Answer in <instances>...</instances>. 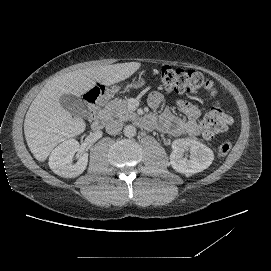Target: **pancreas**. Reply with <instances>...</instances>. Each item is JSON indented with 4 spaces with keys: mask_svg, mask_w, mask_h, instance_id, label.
<instances>
[{
    "mask_svg": "<svg viewBox=\"0 0 271 271\" xmlns=\"http://www.w3.org/2000/svg\"><path fill=\"white\" fill-rule=\"evenodd\" d=\"M127 100H112L105 109L108 111L109 115L114 118H119L121 120H129L135 112L129 111L127 109Z\"/></svg>",
    "mask_w": 271,
    "mask_h": 271,
    "instance_id": "1",
    "label": "pancreas"
}]
</instances>
